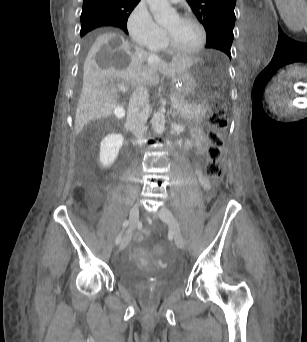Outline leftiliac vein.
<instances>
[{"instance_id":"obj_1","label":"left iliac vein","mask_w":307,"mask_h":342,"mask_svg":"<svg viewBox=\"0 0 307 342\" xmlns=\"http://www.w3.org/2000/svg\"><path fill=\"white\" fill-rule=\"evenodd\" d=\"M157 215L162 221L168 224L170 230L174 235V241L177 247L183 249L185 247L183 236L179 224L174 215L172 214V212L167 208L163 207L157 212Z\"/></svg>"}]
</instances>
